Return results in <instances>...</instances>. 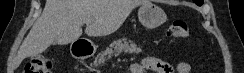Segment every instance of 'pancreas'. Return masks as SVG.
<instances>
[{
    "label": "pancreas",
    "mask_w": 244,
    "mask_h": 73,
    "mask_svg": "<svg viewBox=\"0 0 244 73\" xmlns=\"http://www.w3.org/2000/svg\"><path fill=\"white\" fill-rule=\"evenodd\" d=\"M124 53H140L141 48L138 47L135 43L132 41H127V38L119 39L117 41H114L107 47L104 51L99 53L97 57L95 58L94 64L97 65H104L106 61L111 59L113 55H118Z\"/></svg>",
    "instance_id": "cf45deb5"
}]
</instances>
